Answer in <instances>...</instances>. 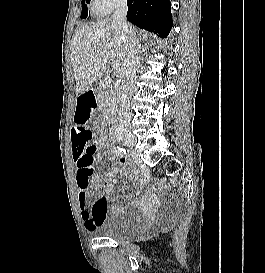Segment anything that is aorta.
<instances>
[{"instance_id":"aorta-1","label":"aorta","mask_w":265,"mask_h":273,"mask_svg":"<svg viewBox=\"0 0 265 273\" xmlns=\"http://www.w3.org/2000/svg\"><path fill=\"white\" fill-rule=\"evenodd\" d=\"M120 102H121V97L119 96V97L117 98V107H120Z\"/></svg>"}]
</instances>
